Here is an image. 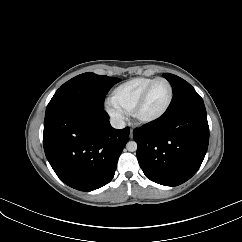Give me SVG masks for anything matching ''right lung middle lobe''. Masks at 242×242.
Returning a JSON list of instances; mask_svg holds the SVG:
<instances>
[{
	"label": "right lung middle lobe",
	"instance_id": "1",
	"mask_svg": "<svg viewBox=\"0 0 242 242\" xmlns=\"http://www.w3.org/2000/svg\"><path fill=\"white\" fill-rule=\"evenodd\" d=\"M119 78L97 75L92 72L80 74L64 83L50 100L46 113L68 104L87 103L104 108V99L109 89Z\"/></svg>",
	"mask_w": 242,
	"mask_h": 242
}]
</instances>
